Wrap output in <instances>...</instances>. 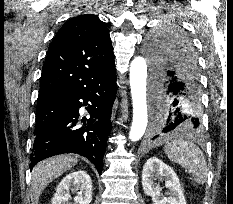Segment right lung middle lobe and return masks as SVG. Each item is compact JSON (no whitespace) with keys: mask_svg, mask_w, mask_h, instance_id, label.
<instances>
[{"mask_svg":"<svg viewBox=\"0 0 233 204\" xmlns=\"http://www.w3.org/2000/svg\"><path fill=\"white\" fill-rule=\"evenodd\" d=\"M62 116V113L52 104L38 103L36 112V137L47 132Z\"/></svg>","mask_w":233,"mask_h":204,"instance_id":"1","label":"right lung middle lobe"}]
</instances>
